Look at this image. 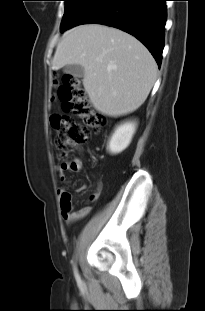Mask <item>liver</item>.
I'll return each mask as SVG.
<instances>
[{
  "label": "liver",
  "mask_w": 205,
  "mask_h": 311,
  "mask_svg": "<svg viewBox=\"0 0 205 311\" xmlns=\"http://www.w3.org/2000/svg\"><path fill=\"white\" fill-rule=\"evenodd\" d=\"M72 64L84 68L83 85L93 107L112 117L138 109L157 78V64L142 43L100 24L80 25L64 35L52 68Z\"/></svg>",
  "instance_id": "1"
}]
</instances>
